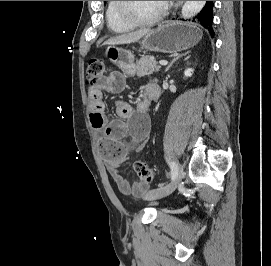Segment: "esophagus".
<instances>
[{
    "instance_id": "34e87169",
    "label": "esophagus",
    "mask_w": 271,
    "mask_h": 266,
    "mask_svg": "<svg viewBox=\"0 0 271 266\" xmlns=\"http://www.w3.org/2000/svg\"><path fill=\"white\" fill-rule=\"evenodd\" d=\"M182 3H183V1H177L175 7L178 8Z\"/></svg>"
}]
</instances>
